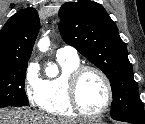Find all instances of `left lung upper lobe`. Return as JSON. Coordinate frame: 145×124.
Wrapping results in <instances>:
<instances>
[{
	"mask_svg": "<svg viewBox=\"0 0 145 124\" xmlns=\"http://www.w3.org/2000/svg\"><path fill=\"white\" fill-rule=\"evenodd\" d=\"M63 40L101 69L111 83L114 120L145 124V113L133 78L125 43L102 5L93 1L68 2L59 11Z\"/></svg>",
	"mask_w": 145,
	"mask_h": 124,
	"instance_id": "obj_1",
	"label": "left lung upper lobe"
}]
</instances>
